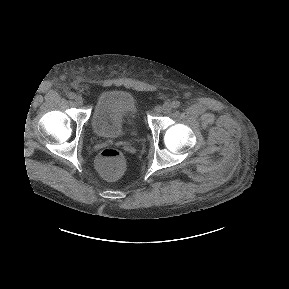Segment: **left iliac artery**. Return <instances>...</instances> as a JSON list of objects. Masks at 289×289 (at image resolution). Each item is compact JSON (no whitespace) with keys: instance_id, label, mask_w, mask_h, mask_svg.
I'll return each instance as SVG.
<instances>
[{"instance_id":"obj_1","label":"left iliac artery","mask_w":289,"mask_h":289,"mask_svg":"<svg viewBox=\"0 0 289 289\" xmlns=\"http://www.w3.org/2000/svg\"><path fill=\"white\" fill-rule=\"evenodd\" d=\"M174 109H177L180 107V102L179 101H173L171 105Z\"/></svg>"}]
</instances>
